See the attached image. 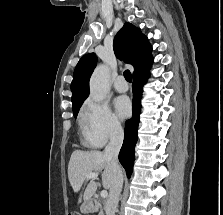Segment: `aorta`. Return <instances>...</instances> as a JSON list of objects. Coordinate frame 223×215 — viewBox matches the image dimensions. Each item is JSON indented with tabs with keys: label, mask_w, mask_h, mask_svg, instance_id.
Returning <instances> with one entry per match:
<instances>
[{
	"label": "aorta",
	"mask_w": 223,
	"mask_h": 215,
	"mask_svg": "<svg viewBox=\"0 0 223 215\" xmlns=\"http://www.w3.org/2000/svg\"><path fill=\"white\" fill-rule=\"evenodd\" d=\"M109 74L110 70L105 64H99L95 68L89 82L90 98L95 102L104 100L107 92H109Z\"/></svg>",
	"instance_id": "1"
}]
</instances>
